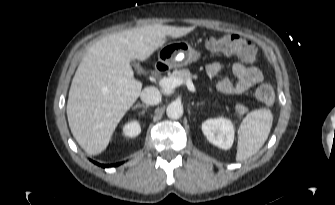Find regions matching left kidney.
<instances>
[{"instance_id":"obj_1","label":"left kidney","mask_w":335,"mask_h":205,"mask_svg":"<svg viewBox=\"0 0 335 205\" xmlns=\"http://www.w3.org/2000/svg\"><path fill=\"white\" fill-rule=\"evenodd\" d=\"M202 131L210 143L221 149L227 150L233 145L235 132L230 119H208L202 123Z\"/></svg>"}]
</instances>
